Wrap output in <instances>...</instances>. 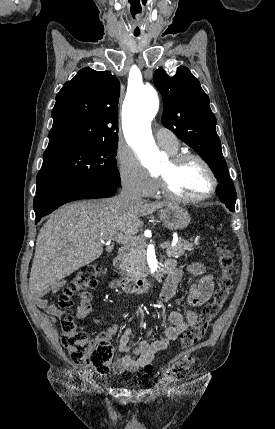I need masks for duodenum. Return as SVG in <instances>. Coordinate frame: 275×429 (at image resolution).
<instances>
[{"label":"duodenum","instance_id":"duodenum-1","mask_svg":"<svg viewBox=\"0 0 275 429\" xmlns=\"http://www.w3.org/2000/svg\"><path fill=\"white\" fill-rule=\"evenodd\" d=\"M129 254V250L127 248H121L114 259V266L120 275L118 280L119 287L125 293H140L152 289L156 284L157 275L152 279L132 278L126 275L125 268L127 265ZM169 270V266L167 265V263H165L161 267L160 273H168Z\"/></svg>","mask_w":275,"mask_h":429}]
</instances>
